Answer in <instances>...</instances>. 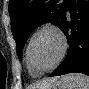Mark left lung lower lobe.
I'll return each mask as SVG.
<instances>
[{"label": "left lung lower lobe", "instance_id": "left-lung-lower-lobe-1", "mask_svg": "<svg viewBox=\"0 0 89 89\" xmlns=\"http://www.w3.org/2000/svg\"><path fill=\"white\" fill-rule=\"evenodd\" d=\"M67 10L70 19L66 15L61 29L67 36L69 53L49 76L75 72L89 76V0H69Z\"/></svg>", "mask_w": 89, "mask_h": 89}]
</instances>
